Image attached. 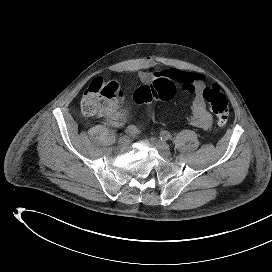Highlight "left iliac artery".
Returning a JSON list of instances; mask_svg holds the SVG:
<instances>
[{
    "label": "left iliac artery",
    "mask_w": 272,
    "mask_h": 272,
    "mask_svg": "<svg viewBox=\"0 0 272 272\" xmlns=\"http://www.w3.org/2000/svg\"><path fill=\"white\" fill-rule=\"evenodd\" d=\"M160 138H161V140H171L172 135L168 131H162L160 133Z\"/></svg>",
    "instance_id": "1"
}]
</instances>
